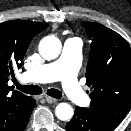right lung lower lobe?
<instances>
[{
	"mask_svg": "<svg viewBox=\"0 0 131 131\" xmlns=\"http://www.w3.org/2000/svg\"><path fill=\"white\" fill-rule=\"evenodd\" d=\"M35 105H36V102L34 99H32L31 104L29 105L28 110H27L22 122L20 123V125L16 129V131H23L26 128V125L29 121L31 112H32L33 108L35 107Z\"/></svg>",
	"mask_w": 131,
	"mask_h": 131,
	"instance_id": "98d812e1",
	"label": "right lung lower lobe"
}]
</instances>
